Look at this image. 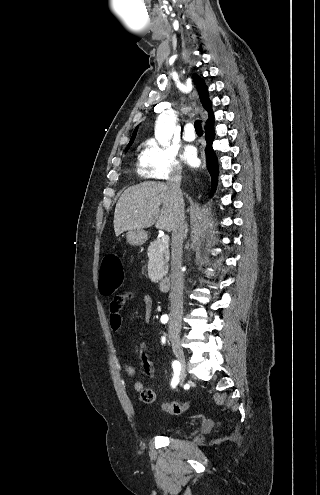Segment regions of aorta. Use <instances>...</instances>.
Returning a JSON list of instances; mask_svg holds the SVG:
<instances>
[{"instance_id": "obj_1", "label": "aorta", "mask_w": 320, "mask_h": 495, "mask_svg": "<svg viewBox=\"0 0 320 495\" xmlns=\"http://www.w3.org/2000/svg\"><path fill=\"white\" fill-rule=\"evenodd\" d=\"M176 115L173 110L160 114L155 122V138L161 145H168L175 130Z\"/></svg>"}]
</instances>
